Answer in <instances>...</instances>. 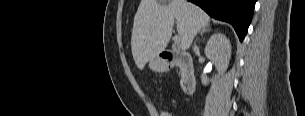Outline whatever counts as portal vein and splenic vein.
<instances>
[{
    "instance_id": "obj_1",
    "label": "portal vein and splenic vein",
    "mask_w": 305,
    "mask_h": 116,
    "mask_svg": "<svg viewBox=\"0 0 305 116\" xmlns=\"http://www.w3.org/2000/svg\"><path fill=\"white\" fill-rule=\"evenodd\" d=\"M180 42H181V37L179 35H176L174 37V43L178 45Z\"/></svg>"
}]
</instances>
